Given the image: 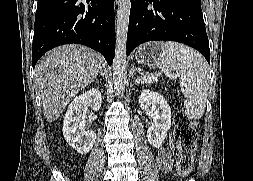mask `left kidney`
I'll list each match as a JSON object with an SVG mask.
<instances>
[{
    "instance_id": "obj_1",
    "label": "left kidney",
    "mask_w": 253,
    "mask_h": 181,
    "mask_svg": "<svg viewBox=\"0 0 253 181\" xmlns=\"http://www.w3.org/2000/svg\"><path fill=\"white\" fill-rule=\"evenodd\" d=\"M138 103L141 109L151 106L152 123L147 130V137L153 147L159 148L171 127L170 106L163 95L147 89L141 92Z\"/></svg>"
}]
</instances>
